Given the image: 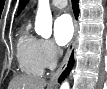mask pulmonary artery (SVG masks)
I'll return each instance as SVG.
<instances>
[{"instance_id":"e3ab8cb5","label":"pulmonary artery","mask_w":107,"mask_h":89,"mask_svg":"<svg viewBox=\"0 0 107 89\" xmlns=\"http://www.w3.org/2000/svg\"><path fill=\"white\" fill-rule=\"evenodd\" d=\"M52 5L56 8H65L67 5V1L66 0H53Z\"/></svg>"}]
</instances>
